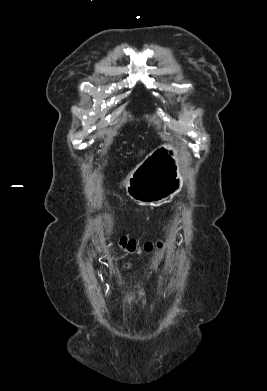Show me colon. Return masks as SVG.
Instances as JSON below:
<instances>
[{"instance_id":"1","label":"colon","mask_w":267,"mask_h":391,"mask_svg":"<svg viewBox=\"0 0 267 391\" xmlns=\"http://www.w3.org/2000/svg\"><path fill=\"white\" fill-rule=\"evenodd\" d=\"M160 245H161L160 243L154 244L152 242H146L145 244L140 245L135 239L126 236H123L120 239L121 248L129 254L150 252L153 250L155 246H160Z\"/></svg>"}]
</instances>
